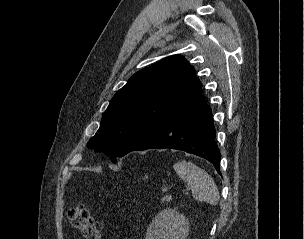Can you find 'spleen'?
Here are the masks:
<instances>
[{
    "instance_id": "3e777b00",
    "label": "spleen",
    "mask_w": 304,
    "mask_h": 239,
    "mask_svg": "<svg viewBox=\"0 0 304 239\" xmlns=\"http://www.w3.org/2000/svg\"><path fill=\"white\" fill-rule=\"evenodd\" d=\"M178 176L192 191L193 198L198 201L216 205L219 201V191L214 180L207 172L192 162L182 160L173 166Z\"/></svg>"
}]
</instances>
